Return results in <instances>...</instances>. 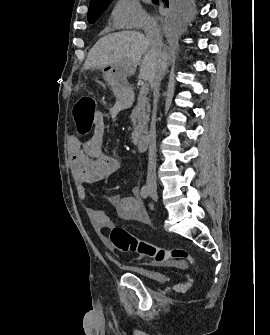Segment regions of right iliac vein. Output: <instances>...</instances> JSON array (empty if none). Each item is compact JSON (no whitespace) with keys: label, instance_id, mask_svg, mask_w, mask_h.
I'll list each match as a JSON object with an SVG mask.
<instances>
[{"label":"right iliac vein","instance_id":"1","mask_svg":"<svg viewBox=\"0 0 270 335\" xmlns=\"http://www.w3.org/2000/svg\"><path fill=\"white\" fill-rule=\"evenodd\" d=\"M149 190H150V193L153 197H155V198L158 197L157 189L154 186H149Z\"/></svg>","mask_w":270,"mask_h":335}]
</instances>
